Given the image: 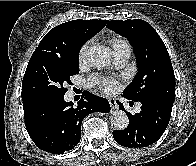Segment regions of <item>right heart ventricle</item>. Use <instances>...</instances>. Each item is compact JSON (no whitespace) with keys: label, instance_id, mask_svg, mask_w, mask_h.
Returning a JSON list of instances; mask_svg holds the SVG:
<instances>
[{"label":"right heart ventricle","instance_id":"1","mask_svg":"<svg viewBox=\"0 0 196 166\" xmlns=\"http://www.w3.org/2000/svg\"><path fill=\"white\" fill-rule=\"evenodd\" d=\"M123 43H127V42H125L122 39H114L112 42V48L115 47L116 45L123 44Z\"/></svg>","mask_w":196,"mask_h":166}]
</instances>
